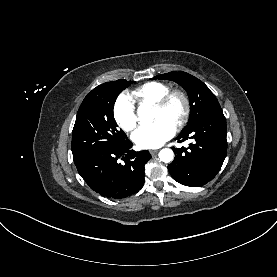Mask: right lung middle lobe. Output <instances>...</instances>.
Returning a JSON list of instances; mask_svg holds the SVG:
<instances>
[{
  "label": "right lung middle lobe",
  "instance_id": "obj_1",
  "mask_svg": "<svg viewBox=\"0 0 277 277\" xmlns=\"http://www.w3.org/2000/svg\"><path fill=\"white\" fill-rule=\"evenodd\" d=\"M134 81L117 80L94 88L78 110L72 132V154L76 158L95 148L123 145L126 134L117 128L113 116L117 96Z\"/></svg>",
  "mask_w": 277,
  "mask_h": 277
}]
</instances>
